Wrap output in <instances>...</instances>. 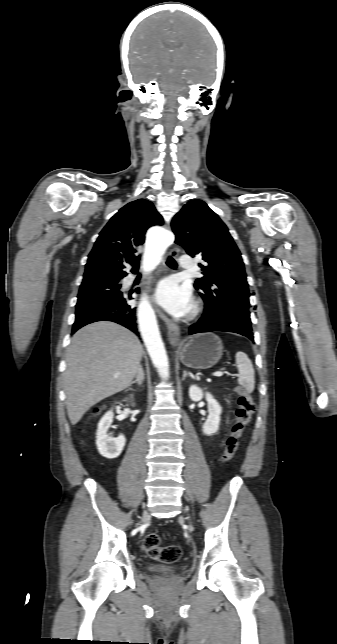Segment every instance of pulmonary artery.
I'll use <instances>...</instances> for the list:
<instances>
[{
  "label": "pulmonary artery",
  "mask_w": 337,
  "mask_h": 644,
  "mask_svg": "<svg viewBox=\"0 0 337 644\" xmlns=\"http://www.w3.org/2000/svg\"><path fill=\"white\" fill-rule=\"evenodd\" d=\"M179 264L182 269H190L193 266V259L189 255H182L179 258Z\"/></svg>",
  "instance_id": "obj_1"
}]
</instances>
